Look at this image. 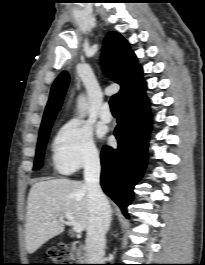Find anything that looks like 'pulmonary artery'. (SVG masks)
Returning a JSON list of instances; mask_svg holds the SVG:
<instances>
[{
	"label": "pulmonary artery",
	"mask_w": 205,
	"mask_h": 265,
	"mask_svg": "<svg viewBox=\"0 0 205 265\" xmlns=\"http://www.w3.org/2000/svg\"><path fill=\"white\" fill-rule=\"evenodd\" d=\"M99 115H100L101 120L105 123H108L112 120V114L110 112V107L108 103H104L101 106Z\"/></svg>",
	"instance_id": "e3ab8cb5"
}]
</instances>
